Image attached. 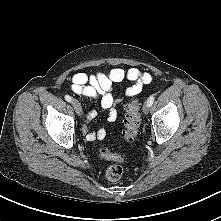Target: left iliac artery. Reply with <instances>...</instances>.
Wrapping results in <instances>:
<instances>
[{"label":"left iliac artery","instance_id":"1","mask_svg":"<svg viewBox=\"0 0 221 221\" xmlns=\"http://www.w3.org/2000/svg\"><path fill=\"white\" fill-rule=\"evenodd\" d=\"M154 99H155L154 95H152V96L149 97V99H148V101H147V103H148L149 106H151V105L153 104Z\"/></svg>","mask_w":221,"mask_h":221}]
</instances>
